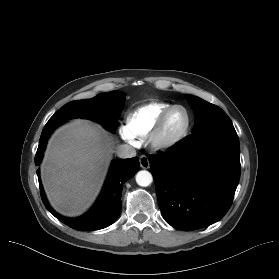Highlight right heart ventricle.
<instances>
[{"label": "right heart ventricle", "mask_w": 279, "mask_h": 279, "mask_svg": "<svg viewBox=\"0 0 279 279\" xmlns=\"http://www.w3.org/2000/svg\"><path fill=\"white\" fill-rule=\"evenodd\" d=\"M172 104L154 101L144 104L126 116V129L132 137L144 139L148 136L160 114Z\"/></svg>", "instance_id": "obj_1"}]
</instances>
